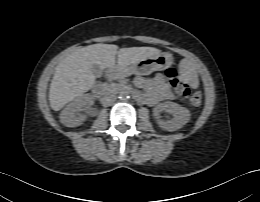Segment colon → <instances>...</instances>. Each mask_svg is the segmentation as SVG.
I'll list each match as a JSON object with an SVG mask.
<instances>
[{"instance_id": "5ec220e1", "label": "colon", "mask_w": 260, "mask_h": 202, "mask_svg": "<svg viewBox=\"0 0 260 202\" xmlns=\"http://www.w3.org/2000/svg\"><path fill=\"white\" fill-rule=\"evenodd\" d=\"M167 80L174 90L175 94L180 97L182 100L188 102L192 106L200 105L202 101V94L200 91L190 92L187 88L186 83L179 75L177 69L174 67H169L166 70Z\"/></svg>"}]
</instances>
